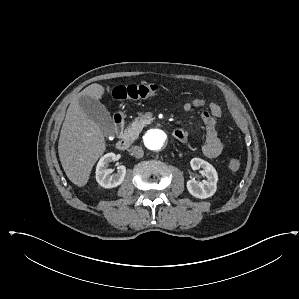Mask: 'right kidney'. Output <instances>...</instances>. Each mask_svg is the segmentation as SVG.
<instances>
[{
	"label": "right kidney",
	"mask_w": 299,
	"mask_h": 299,
	"mask_svg": "<svg viewBox=\"0 0 299 299\" xmlns=\"http://www.w3.org/2000/svg\"><path fill=\"white\" fill-rule=\"evenodd\" d=\"M114 153H107L102 156L96 167V181L104 188H114L119 186L126 175V167H117V173L112 174L113 170L108 168L110 162L115 161Z\"/></svg>",
	"instance_id": "right-kidney-1"
}]
</instances>
